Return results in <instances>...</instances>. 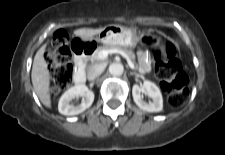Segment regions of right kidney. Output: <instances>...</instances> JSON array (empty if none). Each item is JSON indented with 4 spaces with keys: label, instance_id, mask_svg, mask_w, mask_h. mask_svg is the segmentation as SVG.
Returning <instances> with one entry per match:
<instances>
[{
    "label": "right kidney",
    "instance_id": "obj_1",
    "mask_svg": "<svg viewBox=\"0 0 225 155\" xmlns=\"http://www.w3.org/2000/svg\"><path fill=\"white\" fill-rule=\"evenodd\" d=\"M79 96L84 97L80 105L74 106L70 104L72 99ZM93 101V91L89 90L85 85H75L61 96L58 104V110L63 115H77L89 108Z\"/></svg>",
    "mask_w": 225,
    "mask_h": 155
}]
</instances>
